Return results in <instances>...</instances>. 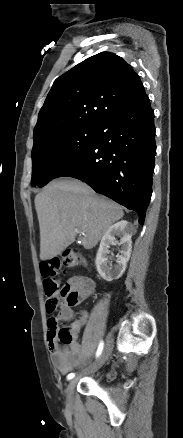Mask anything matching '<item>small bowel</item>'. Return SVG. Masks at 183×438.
I'll list each match as a JSON object with an SVG mask.
<instances>
[{"label": "small bowel", "instance_id": "small-bowel-1", "mask_svg": "<svg viewBox=\"0 0 183 438\" xmlns=\"http://www.w3.org/2000/svg\"><path fill=\"white\" fill-rule=\"evenodd\" d=\"M66 285L78 293L79 301L77 304L90 297L95 290L94 281L86 276H75L70 278ZM72 307V305L65 302L61 306L56 320L65 322L70 321L73 318ZM87 320L88 312L81 311L79 318L74 320L71 324L75 335L83 328ZM48 343L51 352L52 363L62 374H66L82 362L84 351L81 344L75 340V337L70 343L62 342L63 345L61 346L58 336L49 330Z\"/></svg>", "mask_w": 183, "mask_h": 438}]
</instances>
